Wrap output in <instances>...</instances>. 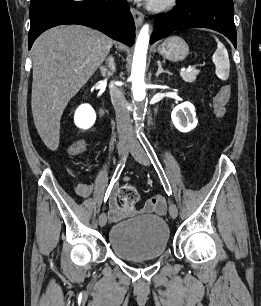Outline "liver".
I'll return each instance as SVG.
<instances>
[{"label":"liver","instance_id":"6515ba94","mask_svg":"<svg viewBox=\"0 0 261 306\" xmlns=\"http://www.w3.org/2000/svg\"><path fill=\"white\" fill-rule=\"evenodd\" d=\"M112 45L108 36L81 25L51 28L36 39L31 49V108L35 127L48 149L57 150L64 109L95 73Z\"/></svg>","mask_w":261,"mask_h":306}]
</instances>
